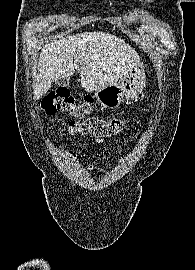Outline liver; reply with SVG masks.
<instances>
[{
  "instance_id": "6515ba94",
  "label": "liver",
  "mask_w": 195,
  "mask_h": 270,
  "mask_svg": "<svg viewBox=\"0 0 195 270\" xmlns=\"http://www.w3.org/2000/svg\"><path fill=\"white\" fill-rule=\"evenodd\" d=\"M140 64V57L121 38L104 32H85L67 38L58 37L42 48L34 99H40L53 82L81 74V86L97 91L126 77Z\"/></svg>"
}]
</instances>
